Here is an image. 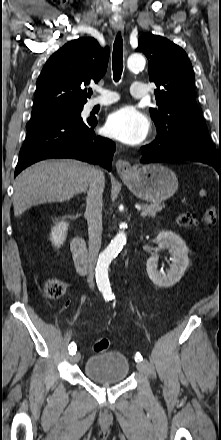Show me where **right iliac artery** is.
Segmentation results:
<instances>
[{"label": "right iliac artery", "instance_id": "obj_1", "mask_svg": "<svg viewBox=\"0 0 221 440\" xmlns=\"http://www.w3.org/2000/svg\"><path fill=\"white\" fill-rule=\"evenodd\" d=\"M108 300H109V298H108ZM76 351H77V347H76L75 343L72 342V343L69 345V354H70V355H73V354L76 353Z\"/></svg>", "mask_w": 221, "mask_h": 440}]
</instances>
